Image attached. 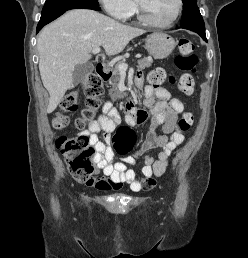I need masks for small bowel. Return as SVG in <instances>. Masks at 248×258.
Instances as JSON below:
<instances>
[{"instance_id": "small-bowel-1", "label": "small bowel", "mask_w": 248, "mask_h": 258, "mask_svg": "<svg viewBox=\"0 0 248 258\" xmlns=\"http://www.w3.org/2000/svg\"><path fill=\"white\" fill-rule=\"evenodd\" d=\"M136 83L142 87L140 75L137 76ZM144 104L150 111L133 108L126 115V123L132 130L137 124L150 120L152 131L135 154L122 161L114 162V153L110 147L111 134L120 123L119 114L110 101L103 104L102 114L92 120L88 129L82 132L95 147L94 163L104 174L102 178L87 180V185L105 191L119 189L123 184H127L133 192L154 190L156 180L151 177H160L165 173L171 154L184 141V135L178 127V116L183 112L184 106L168 90L153 85L144 87ZM159 126L161 133L154 131ZM101 131L104 132L103 141L98 138ZM152 148H159L160 151L156 158L150 154L144 157L141 168L143 178H137L135 171L128 166L134 165L140 155Z\"/></svg>"}]
</instances>
